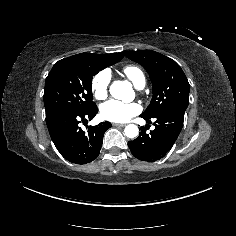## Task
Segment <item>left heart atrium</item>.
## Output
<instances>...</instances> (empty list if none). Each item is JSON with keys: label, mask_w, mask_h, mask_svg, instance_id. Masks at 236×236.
<instances>
[{"label": "left heart atrium", "mask_w": 236, "mask_h": 236, "mask_svg": "<svg viewBox=\"0 0 236 236\" xmlns=\"http://www.w3.org/2000/svg\"><path fill=\"white\" fill-rule=\"evenodd\" d=\"M140 112V106L135 103H122L110 100L100 108L103 119L111 122H125Z\"/></svg>", "instance_id": "39dd6f15"}]
</instances>
